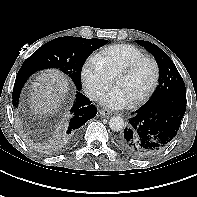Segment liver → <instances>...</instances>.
<instances>
[{
  "label": "liver",
  "instance_id": "6515ba94",
  "mask_svg": "<svg viewBox=\"0 0 197 197\" xmlns=\"http://www.w3.org/2000/svg\"><path fill=\"white\" fill-rule=\"evenodd\" d=\"M69 82L60 71L49 69L36 77L30 86V108L46 114L57 110L69 90Z\"/></svg>",
  "mask_w": 197,
  "mask_h": 197
}]
</instances>
